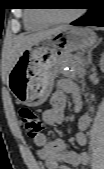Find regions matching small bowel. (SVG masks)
Here are the masks:
<instances>
[{"instance_id": "obj_1", "label": "small bowel", "mask_w": 104, "mask_h": 169, "mask_svg": "<svg viewBox=\"0 0 104 169\" xmlns=\"http://www.w3.org/2000/svg\"><path fill=\"white\" fill-rule=\"evenodd\" d=\"M70 95L75 109H80L82 98L77 85L71 81H64L51 95L50 107L43 112V121L47 125H61L64 121V110L67 105V96ZM90 123V116L83 115L78 122L79 131L74 139L80 146H85L87 137L85 130ZM38 147V156L44 161L46 169H71L85 164L88 155L85 152H75L67 148L63 139H49L41 134L34 139Z\"/></svg>"}]
</instances>
